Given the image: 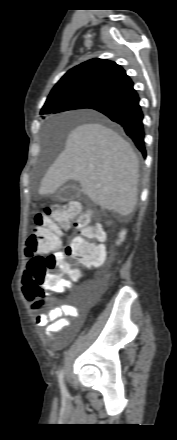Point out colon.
<instances>
[{"instance_id": "colon-1", "label": "colon", "mask_w": 177, "mask_h": 440, "mask_svg": "<svg viewBox=\"0 0 177 440\" xmlns=\"http://www.w3.org/2000/svg\"><path fill=\"white\" fill-rule=\"evenodd\" d=\"M92 215L82 212L78 202L47 207L35 216L34 228L27 239L25 253L29 257L23 289L29 300L40 298L44 289L59 291L68 284L67 275L78 280L72 271L73 262L95 268L101 265L104 250L97 244L103 238L99 226L91 223ZM75 228L79 236L60 252L62 230ZM46 254V255H43Z\"/></svg>"}]
</instances>
